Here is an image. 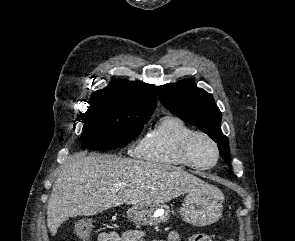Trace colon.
Instances as JSON below:
<instances>
[{
	"mask_svg": "<svg viewBox=\"0 0 295 241\" xmlns=\"http://www.w3.org/2000/svg\"><path fill=\"white\" fill-rule=\"evenodd\" d=\"M91 231H92V224L88 223L87 227L83 229V231L81 232V237L83 238V240H88L90 238ZM223 241H234V240L227 239Z\"/></svg>",
	"mask_w": 295,
	"mask_h": 241,
	"instance_id": "1",
	"label": "colon"
}]
</instances>
